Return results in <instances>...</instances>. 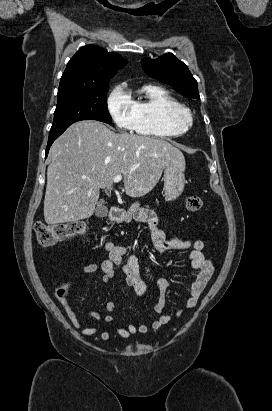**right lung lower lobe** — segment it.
Wrapping results in <instances>:
<instances>
[{
	"instance_id": "98d812e1",
	"label": "right lung lower lobe",
	"mask_w": 272,
	"mask_h": 411,
	"mask_svg": "<svg viewBox=\"0 0 272 411\" xmlns=\"http://www.w3.org/2000/svg\"><path fill=\"white\" fill-rule=\"evenodd\" d=\"M55 139H56V138H53V139H49V140H48V145H47L46 151H45V157H47L48 152H49V149H50V146L52 145V143L54 142Z\"/></svg>"
}]
</instances>
